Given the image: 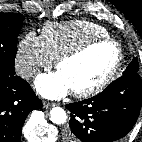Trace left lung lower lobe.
I'll return each instance as SVG.
<instances>
[{"label":"left lung lower lobe","instance_id":"obj_1","mask_svg":"<svg viewBox=\"0 0 142 142\" xmlns=\"http://www.w3.org/2000/svg\"><path fill=\"white\" fill-rule=\"evenodd\" d=\"M142 104L138 73L122 75L103 92L67 104L71 112L66 142H115L133 128Z\"/></svg>","mask_w":142,"mask_h":142}]
</instances>
